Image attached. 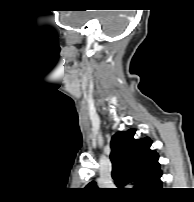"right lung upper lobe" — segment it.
Instances as JSON below:
<instances>
[{"instance_id":"cb5924a9","label":"right lung upper lobe","mask_w":194,"mask_h":202,"mask_svg":"<svg viewBox=\"0 0 194 202\" xmlns=\"http://www.w3.org/2000/svg\"><path fill=\"white\" fill-rule=\"evenodd\" d=\"M134 129L117 132L111 141L112 177L118 187L134 183L140 193H150L161 187L162 172L158 154L151 150V140L134 139ZM96 188V183H89Z\"/></svg>"}]
</instances>
